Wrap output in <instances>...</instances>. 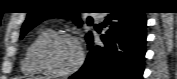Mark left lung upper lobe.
Listing matches in <instances>:
<instances>
[{
	"label": "left lung upper lobe",
	"mask_w": 177,
	"mask_h": 79,
	"mask_svg": "<svg viewBox=\"0 0 177 79\" xmlns=\"http://www.w3.org/2000/svg\"><path fill=\"white\" fill-rule=\"evenodd\" d=\"M36 7L28 13V16L26 18V21L24 22L21 30V36L20 39H22L25 34L31 30L33 27L38 25L40 22L50 18V17H67L70 19H73L75 22H77L79 25L81 24V21L78 18L79 12H65V13H55L47 9V5L53 4L52 2L56 1H37ZM87 41L91 39V33H89L87 36Z\"/></svg>",
	"instance_id": "obj_1"
}]
</instances>
